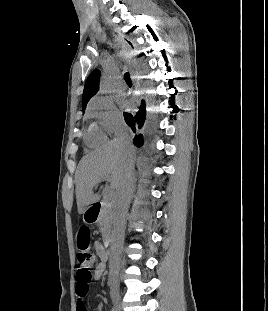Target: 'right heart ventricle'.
I'll return each instance as SVG.
<instances>
[{
  "instance_id": "e07e8e85",
  "label": "right heart ventricle",
  "mask_w": 268,
  "mask_h": 311,
  "mask_svg": "<svg viewBox=\"0 0 268 311\" xmlns=\"http://www.w3.org/2000/svg\"><path fill=\"white\" fill-rule=\"evenodd\" d=\"M104 133L97 128L96 126L92 125L89 127L86 136L85 141L90 146H95L105 140Z\"/></svg>"
}]
</instances>
